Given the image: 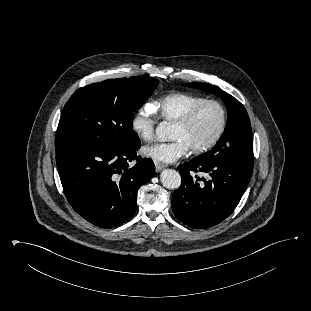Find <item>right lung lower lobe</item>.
<instances>
[{
	"label": "right lung lower lobe",
	"mask_w": 311,
	"mask_h": 311,
	"mask_svg": "<svg viewBox=\"0 0 311 311\" xmlns=\"http://www.w3.org/2000/svg\"><path fill=\"white\" fill-rule=\"evenodd\" d=\"M141 143L121 151L88 147L56 150V164L64 194L72 208L101 228L118 226L136 208L137 191L154 175L150 158L137 156ZM136 160L133 167L129 162Z\"/></svg>",
	"instance_id": "obj_1"
}]
</instances>
